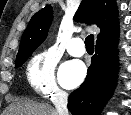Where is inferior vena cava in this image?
<instances>
[{
    "label": "inferior vena cava",
    "instance_id": "obj_1",
    "mask_svg": "<svg viewBox=\"0 0 131 115\" xmlns=\"http://www.w3.org/2000/svg\"><path fill=\"white\" fill-rule=\"evenodd\" d=\"M52 102L56 108L58 115H69L67 102H68V95L66 92H58L54 95Z\"/></svg>",
    "mask_w": 131,
    "mask_h": 115
}]
</instances>
